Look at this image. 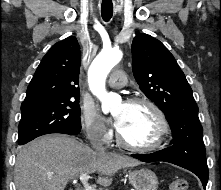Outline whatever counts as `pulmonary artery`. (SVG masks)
Instances as JSON below:
<instances>
[{
	"label": "pulmonary artery",
	"mask_w": 221,
	"mask_h": 190,
	"mask_svg": "<svg viewBox=\"0 0 221 190\" xmlns=\"http://www.w3.org/2000/svg\"><path fill=\"white\" fill-rule=\"evenodd\" d=\"M108 83L111 87H123L126 84V74L123 70H115L110 75Z\"/></svg>",
	"instance_id": "e3ab8cb5"
}]
</instances>
